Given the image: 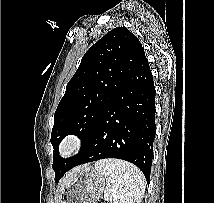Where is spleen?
<instances>
[{"instance_id":"3e777b00","label":"spleen","mask_w":214,"mask_h":203,"mask_svg":"<svg viewBox=\"0 0 214 203\" xmlns=\"http://www.w3.org/2000/svg\"><path fill=\"white\" fill-rule=\"evenodd\" d=\"M95 169L107 179L104 200L110 203H140L146 188L142 172L134 165L117 159L95 163Z\"/></svg>"}]
</instances>
